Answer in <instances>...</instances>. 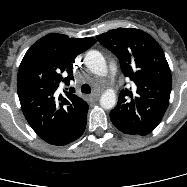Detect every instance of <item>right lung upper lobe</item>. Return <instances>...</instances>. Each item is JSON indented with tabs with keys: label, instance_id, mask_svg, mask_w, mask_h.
Listing matches in <instances>:
<instances>
[{
	"label": "right lung upper lobe",
	"instance_id": "1",
	"mask_svg": "<svg viewBox=\"0 0 187 187\" xmlns=\"http://www.w3.org/2000/svg\"><path fill=\"white\" fill-rule=\"evenodd\" d=\"M96 40L51 33L35 42L22 59L17 89L22 111L33 130L52 145H62L81 127L88 104L61 82L73 79L71 63ZM65 77V78H64Z\"/></svg>",
	"mask_w": 187,
	"mask_h": 187
}]
</instances>
